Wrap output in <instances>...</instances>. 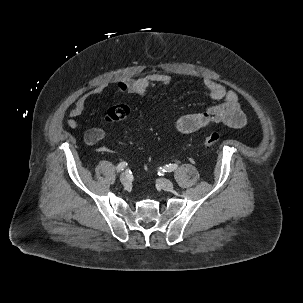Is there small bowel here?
I'll use <instances>...</instances> for the list:
<instances>
[{
    "label": "small bowel",
    "instance_id": "obj_1",
    "mask_svg": "<svg viewBox=\"0 0 303 303\" xmlns=\"http://www.w3.org/2000/svg\"><path fill=\"white\" fill-rule=\"evenodd\" d=\"M171 83L168 75L161 73H150L139 78L120 77L114 81L116 89L122 93H129L143 97L152 88L166 87ZM203 84L213 101V104L201 111L190 112L179 117L175 122V129L182 134H190L211 124L221 123L231 128H242L247 119L241 109L239 97L233 90L226 89L222 84L204 79ZM103 92V87H96L78 97L75 105L69 111V118L66 122L70 129H77V119L83 114L90 97ZM107 131L102 128H91L84 134V142L87 145H95L103 140ZM100 153H110L111 149L100 147Z\"/></svg>",
    "mask_w": 303,
    "mask_h": 303
}]
</instances>
